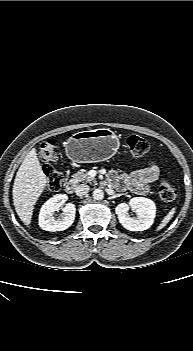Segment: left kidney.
Returning <instances> with one entry per match:
<instances>
[{
	"label": "left kidney",
	"mask_w": 193,
	"mask_h": 351,
	"mask_svg": "<svg viewBox=\"0 0 193 351\" xmlns=\"http://www.w3.org/2000/svg\"><path fill=\"white\" fill-rule=\"evenodd\" d=\"M132 208L137 217H130L128 211ZM115 213L121 225L130 231H144L151 227L156 215L155 203L148 198L134 197L128 203H120Z\"/></svg>",
	"instance_id": "5707ae66"
}]
</instances>
